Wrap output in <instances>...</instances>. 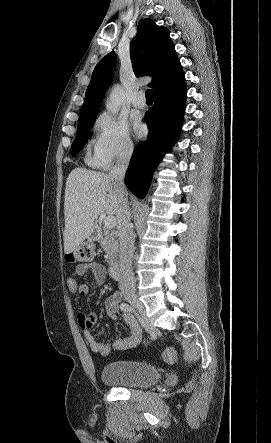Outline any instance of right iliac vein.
I'll use <instances>...</instances> for the list:
<instances>
[{
    "label": "right iliac vein",
    "mask_w": 271,
    "mask_h": 443,
    "mask_svg": "<svg viewBox=\"0 0 271 443\" xmlns=\"http://www.w3.org/2000/svg\"><path fill=\"white\" fill-rule=\"evenodd\" d=\"M126 300L132 304L134 307H136L140 313L144 314L145 313V308L143 303L139 300V298L137 297V295L135 294H127L125 296Z\"/></svg>",
    "instance_id": "63e3f726"
}]
</instances>
